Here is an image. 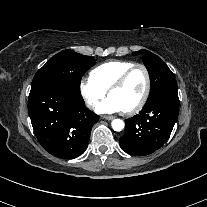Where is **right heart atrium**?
I'll return each mask as SVG.
<instances>
[{"label":"right heart atrium","mask_w":207,"mask_h":207,"mask_svg":"<svg viewBox=\"0 0 207 207\" xmlns=\"http://www.w3.org/2000/svg\"><path fill=\"white\" fill-rule=\"evenodd\" d=\"M79 91L89 108H94L107 92V90L100 86L91 76L83 78L80 81Z\"/></svg>","instance_id":"obj_1"}]
</instances>
